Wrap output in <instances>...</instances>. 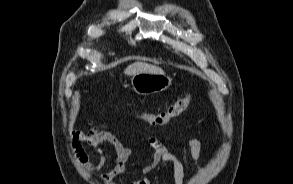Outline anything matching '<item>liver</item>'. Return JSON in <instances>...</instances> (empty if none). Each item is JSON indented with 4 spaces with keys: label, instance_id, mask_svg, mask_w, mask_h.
I'll return each mask as SVG.
<instances>
[{
    "label": "liver",
    "instance_id": "1",
    "mask_svg": "<svg viewBox=\"0 0 293 184\" xmlns=\"http://www.w3.org/2000/svg\"><path fill=\"white\" fill-rule=\"evenodd\" d=\"M142 72H149V73H156V74L164 73L160 67H157L145 62H135L129 65L124 71V73L129 76H133L135 74L142 73Z\"/></svg>",
    "mask_w": 293,
    "mask_h": 184
}]
</instances>
